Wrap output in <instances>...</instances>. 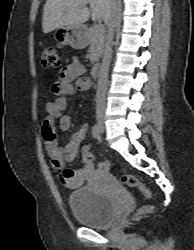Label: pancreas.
<instances>
[{"label":"pancreas","instance_id":"1","mask_svg":"<svg viewBox=\"0 0 194 250\" xmlns=\"http://www.w3.org/2000/svg\"><path fill=\"white\" fill-rule=\"evenodd\" d=\"M86 36L88 44L90 45V61L93 64L97 62L102 55L105 39V28L102 27L98 29L97 26H92L88 30Z\"/></svg>","mask_w":194,"mask_h":250}]
</instances>
